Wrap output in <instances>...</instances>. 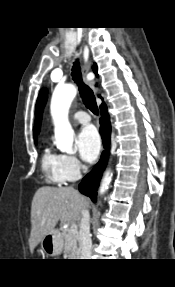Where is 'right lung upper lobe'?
<instances>
[{
    "mask_svg": "<svg viewBox=\"0 0 175 287\" xmlns=\"http://www.w3.org/2000/svg\"><path fill=\"white\" fill-rule=\"evenodd\" d=\"M102 104H103V103H102ZM34 139H35V141H36V139H37L36 134H35V131H34Z\"/></svg>",
    "mask_w": 175,
    "mask_h": 287,
    "instance_id": "obj_1",
    "label": "right lung upper lobe"
}]
</instances>
